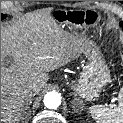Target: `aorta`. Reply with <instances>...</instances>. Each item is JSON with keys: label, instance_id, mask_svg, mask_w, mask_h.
Masks as SVG:
<instances>
[{"label": "aorta", "instance_id": "aorta-1", "mask_svg": "<svg viewBox=\"0 0 123 123\" xmlns=\"http://www.w3.org/2000/svg\"><path fill=\"white\" fill-rule=\"evenodd\" d=\"M43 102L48 109H57L61 105V96L55 91L48 92L44 96Z\"/></svg>", "mask_w": 123, "mask_h": 123}]
</instances>
